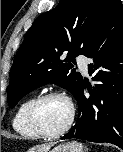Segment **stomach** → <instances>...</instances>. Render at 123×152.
<instances>
[{
    "label": "stomach",
    "mask_w": 123,
    "mask_h": 152,
    "mask_svg": "<svg viewBox=\"0 0 123 152\" xmlns=\"http://www.w3.org/2000/svg\"><path fill=\"white\" fill-rule=\"evenodd\" d=\"M49 152H85V148L81 143L72 141L69 143L60 144Z\"/></svg>",
    "instance_id": "obj_1"
}]
</instances>
